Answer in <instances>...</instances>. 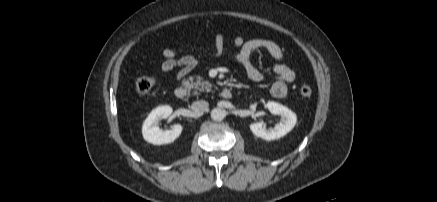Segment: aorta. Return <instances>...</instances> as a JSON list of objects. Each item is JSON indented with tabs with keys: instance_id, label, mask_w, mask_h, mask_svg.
<instances>
[{
	"instance_id": "aorta-1",
	"label": "aorta",
	"mask_w": 437,
	"mask_h": 202,
	"mask_svg": "<svg viewBox=\"0 0 437 202\" xmlns=\"http://www.w3.org/2000/svg\"><path fill=\"white\" fill-rule=\"evenodd\" d=\"M225 116H226V113H225V111H224L223 109H221V108H214V109L211 111V118H212L214 121H222V120L225 118Z\"/></svg>"
}]
</instances>
